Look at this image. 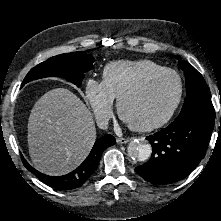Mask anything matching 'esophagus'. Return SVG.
Listing matches in <instances>:
<instances>
[{"instance_id":"esophagus-1","label":"esophagus","mask_w":221,"mask_h":221,"mask_svg":"<svg viewBox=\"0 0 221 221\" xmlns=\"http://www.w3.org/2000/svg\"><path fill=\"white\" fill-rule=\"evenodd\" d=\"M130 141V139L129 138H117L116 139V142L118 143V144H125V143H127V142H129Z\"/></svg>"}]
</instances>
